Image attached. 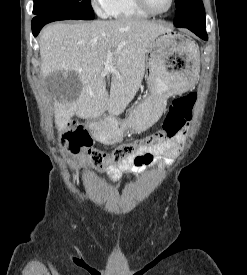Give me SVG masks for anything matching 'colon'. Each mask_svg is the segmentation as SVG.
I'll use <instances>...</instances> for the list:
<instances>
[{"instance_id":"colon-1","label":"colon","mask_w":247,"mask_h":275,"mask_svg":"<svg viewBox=\"0 0 247 275\" xmlns=\"http://www.w3.org/2000/svg\"><path fill=\"white\" fill-rule=\"evenodd\" d=\"M196 99L195 93L175 98L169 106L159 130L134 142L119 145L114 149L110 157L105 152L92 147L90 134L83 126L77 123H73L63 132L60 138V145L72 152L87 149L86 159L95 170L102 169L109 162L119 163L133 157L139 160L137 154L142 148L160 144L178 134L191 119Z\"/></svg>"}]
</instances>
